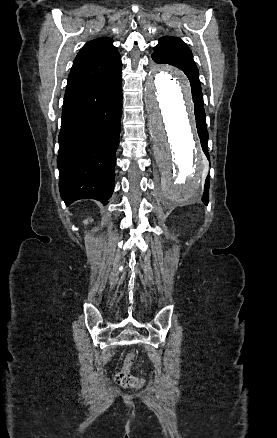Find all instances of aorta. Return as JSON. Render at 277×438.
Wrapping results in <instances>:
<instances>
[{
	"instance_id": "762f6f07",
	"label": "aorta",
	"mask_w": 277,
	"mask_h": 438,
	"mask_svg": "<svg viewBox=\"0 0 277 438\" xmlns=\"http://www.w3.org/2000/svg\"><path fill=\"white\" fill-rule=\"evenodd\" d=\"M145 95L162 173V194L172 202L186 201L200 189L207 168L189 82L182 72L154 65L145 82Z\"/></svg>"
}]
</instances>
